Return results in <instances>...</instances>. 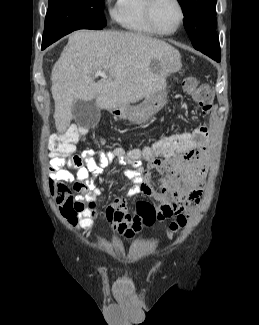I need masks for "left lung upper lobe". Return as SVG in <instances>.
<instances>
[{"label":"left lung upper lobe","mask_w":259,"mask_h":325,"mask_svg":"<svg viewBox=\"0 0 259 325\" xmlns=\"http://www.w3.org/2000/svg\"><path fill=\"white\" fill-rule=\"evenodd\" d=\"M185 17L184 27L195 49L221 60L216 33V0H178Z\"/></svg>","instance_id":"left-lung-upper-lobe-1"}]
</instances>
